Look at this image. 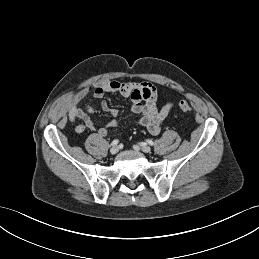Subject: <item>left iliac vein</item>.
I'll list each match as a JSON object with an SVG mask.
<instances>
[{
	"mask_svg": "<svg viewBox=\"0 0 259 259\" xmlns=\"http://www.w3.org/2000/svg\"><path fill=\"white\" fill-rule=\"evenodd\" d=\"M135 149H136V147H135ZM141 149L145 153H149L151 151V148L148 145H143Z\"/></svg>",
	"mask_w": 259,
	"mask_h": 259,
	"instance_id": "left-iliac-vein-1",
	"label": "left iliac vein"
}]
</instances>
